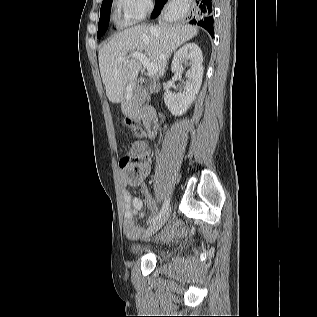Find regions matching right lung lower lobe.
Masks as SVG:
<instances>
[{"label":"right lung lower lobe","instance_id":"98d812e1","mask_svg":"<svg viewBox=\"0 0 317 317\" xmlns=\"http://www.w3.org/2000/svg\"><path fill=\"white\" fill-rule=\"evenodd\" d=\"M167 0H156V5L152 17L155 18L161 12ZM192 18L190 24H197L205 28L213 37V6L212 0H193Z\"/></svg>","mask_w":317,"mask_h":317}]
</instances>
